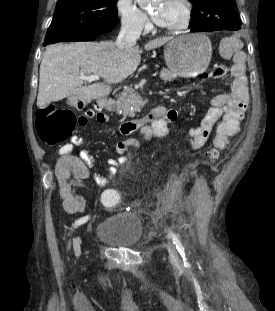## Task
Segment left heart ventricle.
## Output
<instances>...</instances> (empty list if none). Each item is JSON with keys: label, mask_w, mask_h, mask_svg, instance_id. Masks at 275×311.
<instances>
[{"label": "left heart ventricle", "mask_w": 275, "mask_h": 311, "mask_svg": "<svg viewBox=\"0 0 275 311\" xmlns=\"http://www.w3.org/2000/svg\"><path fill=\"white\" fill-rule=\"evenodd\" d=\"M152 8L153 10H161L163 26L178 25L183 20V8L176 0H160L154 3Z\"/></svg>", "instance_id": "obj_1"}]
</instances>
